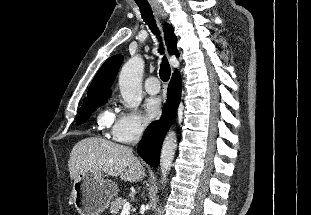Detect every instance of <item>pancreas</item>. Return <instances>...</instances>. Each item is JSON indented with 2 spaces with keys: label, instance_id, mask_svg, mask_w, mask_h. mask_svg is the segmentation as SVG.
Listing matches in <instances>:
<instances>
[{
  "label": "pancreas",
  "instance_id": "obj_1",
  "mask_svg": "<svg viewBox=\"0 0 311 215\" xmlns=\"http://www.w3.org/2000/svg\"><path fill=\"white\" fill-rule=\"evenodd\" d=\"M126 200L118 197L116 198L114 201L111 202V206H110V212L112 215H117L120 211V209L123 207V205L125 204Z\"/></svg>",
  "mask_w": 311,
  "mask_h": 215
}]
</instances>
